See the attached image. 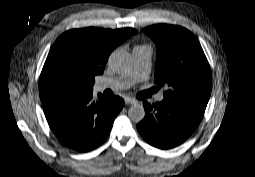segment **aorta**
Instances as JSON below:
<instances>
[{
    "label": "aorta",
    "mask_w": 255,
    "mask_h": 177,
    "mask_svg": "<svg viewBox=\"0 0 255 177\" xmlns=\"http://www.w3.org/2000/svg\"><path fill=\"white\" fill-rule=\"evenodd\" d=\"M132 61L131 54L122 49L114 50L108 59V64L115 72H122L129 68ZM128 117L133 122H140L145 117L144 107L138 103L133 104L128 110Z\"/></svg>",
    "instance_id": "obj_1"
}]
</instances>
